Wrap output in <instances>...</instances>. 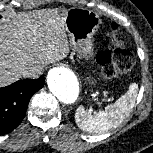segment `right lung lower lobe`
<instances>
[{
	"label": "right lung lower lobe",
	"mask_w": 153,
	"mask_h": 153,
	"mask_svg": "<svg viewBox=\"0 0 153 153\" xmlns=\"http://www.w3.org/2000/svg\"><path fill=\"white\" fill-rule=\"evenodd\" d=\"M45 84L44 77L19 80L0 88V135L14 130L23 120L32 95Z\"/></svg>",
	"instance_id": "98d812e1"
}]
</instances>
